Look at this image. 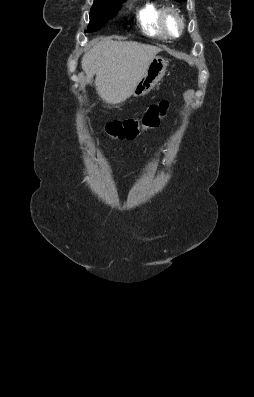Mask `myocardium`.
I'll use <instances>...</instances> for the list:
<instances>
[{
	"instance_id": "myocardium-1",
	"label": "myocardium",
	"mask_w": 254,
	"mask_h": 397,
	"mask_svg": "<svg viewBox=\"0 0 254 397\" xmlns=\"http://www.w3.org/2000/svg\"><path fill=\"white\" fill-rule=\"evenodd\" d=\"M169 16H174L178 23H179V30L177 33H173L171 32V30L168 27L167 24V19ZM160 25L164 31V33L166 34V36L170 37V38H177L179 37L185 28V20L183 15L181 14V12L173 7V6H168L162 9L161 13H160Z\"/></svg>"
}]
</instances>
